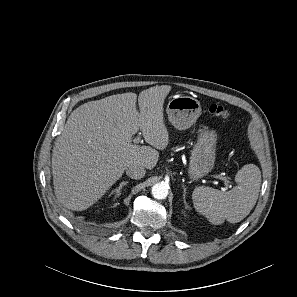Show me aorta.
<instances>
[{"mask_svg": "<svg viewBox=\"0 0 297 297\" xmlns=\"http://www.w3.org/2000/svg\"><path fill=\"white\" fill-rule=\"evenodd\" d=\"M151 192L154 198L162 200L168 195V187L164 183H157L152 187Z\"/></svg>", "mask_w": 297, "mask_h": 297, "instance_id": "1", "label": "aorta"}]
</instances>
